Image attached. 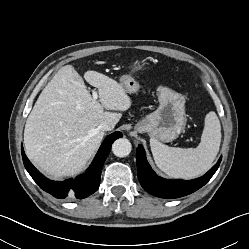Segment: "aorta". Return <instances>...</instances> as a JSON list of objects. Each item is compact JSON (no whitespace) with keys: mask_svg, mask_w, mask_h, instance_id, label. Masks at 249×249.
<instances>
[{"mask_svg":"<svg viewBox=\"0 0 249 249\" xmlns=\"http://www.w3.org/2000/svg\"><path fill=\"white\" fill-rule=\"evenodd\" d=\"M132 145L126 138H119L112 144V151L117 157H126L130 154Z\"/></svg>","mask_w":249,"mask_h":249,"instance_id":"762f6f07","label":"aorta"}]
</instances>
